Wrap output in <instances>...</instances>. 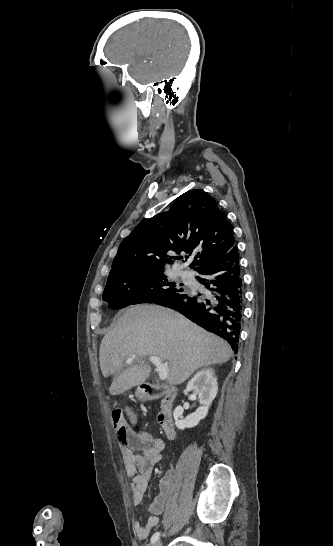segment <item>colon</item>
Masks as SVG:
<instances>
[{"label": "colon", "instance_id": "colon-1", "mask_svg": "<svg viewBox=\"0 0 333 546\" xmlns=\"http://www.w3.org/2000/svg\"><path fill=\"white\" fill-rule=\"evenodd\" d=\"M112 423L120 444L122 446H130V427L120 409H116L112 412Z\"/></svg>", "mask_w": 333, "mask_h": 546}]
</instances>
